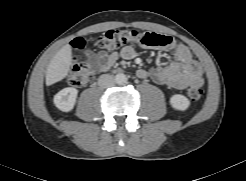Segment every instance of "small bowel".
Returning a JSON list of instances; mask_svg holds the SVG:
<instances>
[{"label":"small bowel","instance_id":"obj_1","mask_svg":"<svg viewBox=\"0 0 246 181\" xmlns=\"http://www.w3.org/2000/svg\"><path fill=\"white\" fill-rule=\"evenodd\" d=\"M173 61L161 68L140 69L137 76L142 79L150 78L155 83L174 89H184L188 85L202 86L204 84L201 65L192 57L189 49L176 41V45L168 48ZM90 62L101 71H106L120 57L129 60L135 57V50L125 46L120 53H106L104 51H87Z\"/></svg>","mask_w":246,"mask_h":181}]
</instances>
